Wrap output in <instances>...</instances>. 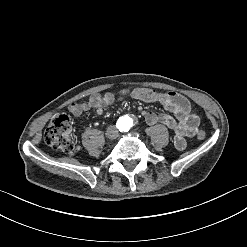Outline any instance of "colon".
I'll list each match as a JSON object with an SVG mask.
<instances>
[{"label":"colon","mask_w":247,"mask_h":247,"mask_svg":"<svg viewBox=\"0 0 247 247\" xmlns=\"http://www.w3.org/2000/svg\"><path fill=\"white\" fill-rule=\"evenodd\" d=\"M135 95L141 101H151L153 94L149 88H137ZM71 122L67 116L63 114L56 115L50 120L44 131V142L55 151L66 154H73L77 151L78 145L71 136ZM206 134L200 130L197 134L198 139L205 138Z\"/></svg>","instance_id":"colon-1"}]
</instances>
